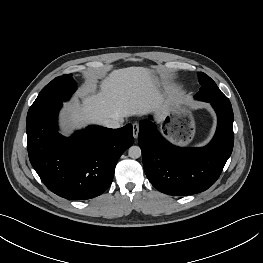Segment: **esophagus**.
I'll list each match as a JSON object with an SVG mask.
<instances>
[{"label": "esophagus", "instance_id": "1", "mask_svg": "<svg viewBox=\"0 0 263 263\" xmlns=\"http://www.w3.org/2000/svg\"><path fill=\"white\" fill-rule=\"evenodd\" d=\"M138 133H139V124L138 123H134L133 124V137L135 139H137Z\"/></svg>", "mask_w": 263, "mask_h": 263}]
</instances>
